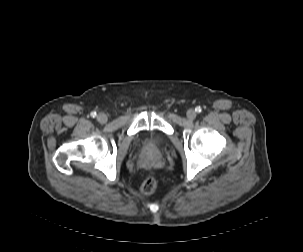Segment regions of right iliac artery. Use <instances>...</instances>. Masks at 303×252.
I'll return each mask as SVG.
<instances>
[{
	"label": "right iliac artery",
	"mask_w": 303,
	"mask_h": 252,
	"mask_svg": "<svg viewBox=\"0 0 303 252\" xmlns=\"http://www.w3.org/2000/svg\"><path fill=\"white\" fill-rule=\"evenodd\" d=\"M96 115H97V114H96L95 111L91 112V116H92V117H96Z\"/></svg>",
	"instance_id": "1"
}]
</instances>
